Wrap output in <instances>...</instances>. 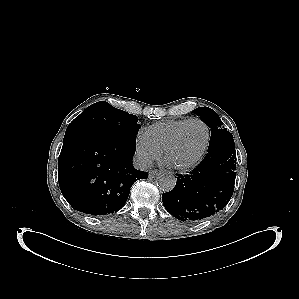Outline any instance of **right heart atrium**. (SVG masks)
I'll use <instances>...</instances> for the list:
<instances>
[{"instance_id":"right-heart-atrium-1","label":"right heart atrium","mask_w":299,"mask_h":299,"mask_svg":"<svg viewBox=\"0 0 299 299\" xmlns=\"http://www.w3.org/2000/svg\"><path fill=\"white\" fill-rule=\"evenodd\" d=\"M134 155L138 166L144 168L160 157L161 150L154 147L144 134L140 133L136 139Z\"/></svg>"}]
</instances>
